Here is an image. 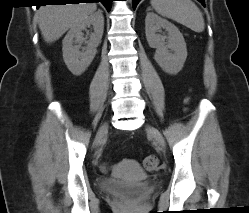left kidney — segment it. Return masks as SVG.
I'll return each instance as SVG.
<instances>
[{
	"mask_svg": "<svg viewBox=\"0 0 249 213\" xmlns=\"http://www.w3.org/2000/svg\"><path fill=\"white\" fill-rule=\"evenodd\" d=\"M161 28L167 31L166 45L164 37L157 34ZM145 33L149 46L156 49L154 59L158 65L168 74H177L187 58L186 43L179 29L166 19L149 12L145 18Z\"/></svg>",
	"mask_w": 249,
	"mask_h": 213,
	"instance_id": "1",
	"label": "left kidney"
}]
</instances>
